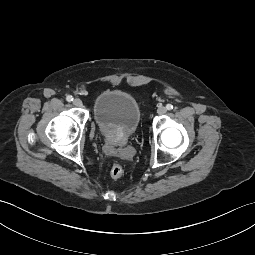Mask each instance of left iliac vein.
Segmentation results:
<instances>
[{
	"instance_id": "1",
	"label": "left iliac vein",
	"mask_w": 255,
	"mask_h": 255,
	"mask_svg": "<svg viewBox=\"0 0 255 255\" xmlns=\"http://www.w3.org/2000/svg\"><path fill=\"white\" fill-rule=\"evenodd\" d=\"M157 112H158L159 115H164V114H166L167 109H166V107L161 106V107L158 108Z\"/></svg>"
}]
</instances>
